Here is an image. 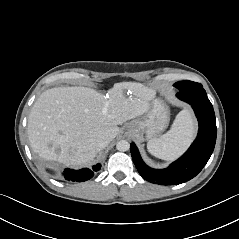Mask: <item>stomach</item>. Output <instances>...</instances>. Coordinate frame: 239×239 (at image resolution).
<instances>
[{"mask_svg":"<svg viewBox=\"0 0 239 239\" xmlns=\"http://www.w3.org/2000/svg\"><path fill=\"white\" fill-rule=\"evenodd\" d=\"M169 110L163 100L153 99L150 110L142 117L131 121L127 130L146 140L156 138L168 126Z\"/></svg>","mask_w":239,"mask_h":239,"instance_id":"1","label":"stomach"}]
</instances>
